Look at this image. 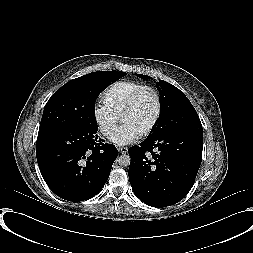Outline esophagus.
Here are the masks:
<instances>
[{"label": "esophagus", "instance_id": "esophagus-1", "mask_svg": "<svg viewBox=\"0 0 253 253\" xmlns=\"http://www.w3.org/2000/svg\"><path fill=\"white\" fill-rule=\"evenodd\" d=\"M118 150H119L120 153L125 154V153H127L128 148L127 147H123V146H119Z\"/></svg>", "mask_w": 253, "mask_h": 253}]
</instances>
